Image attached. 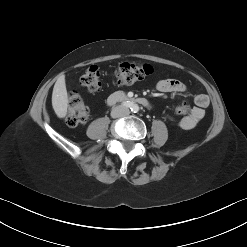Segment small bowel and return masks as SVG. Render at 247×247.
Masks as SVG:
<instances>
[{
  "label": "small bowel",
  "instance_id": "c3829d8e",
  "mask_svg": "<svg viewBox=\"0 0 247 247\" xmlns=\"http://www.w3.org/2000/svg\"><path fill=\"white\" fill-rule=\"evenodd\" d=\"M156 88L162 93H172V92H185L186 85L176 79H164L160 80ZM209 105V98L205 94H197L194 97V107H192L187 115L182 117L178 125L180 128L189 130L194 128L204 117L205 108Z\"/></svg>",
  "mask_w": 247,
  "mask_h": 247
}]
</instances>
